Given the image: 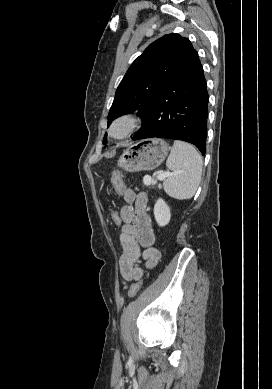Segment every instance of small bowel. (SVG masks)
Masks as SVG:
<instances>
[{
	"mask_svg": "<svg viewBox=\"0 0 272 389\" xmlns=\"http://www.w3.org/2000/svg\"><path fill=\"white\" fill-rule=\"evenodd\" d=\"M123 198L125 205L120 209V244L123 253L119 265L123 279L133 281L143 276L140 263L145 261L147 268H153L160 259V253L153 247L155 233L148 214L146 195L125 189Z\"/></svg>",
	"mask_w": 272,
	"mask_h": 389,
	"instance_id": "obj_1",
	"label": "small bowel"
}]
</instances>
